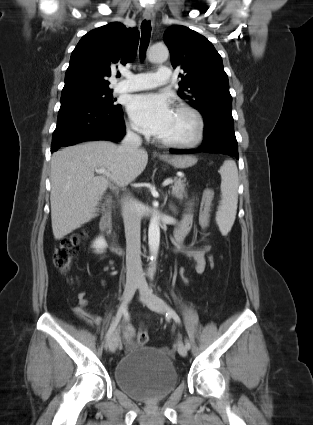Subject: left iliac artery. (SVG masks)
<instances>
[{"label":"left iliac artery","mask_w":313,"mask_h":425,"mask_svg":"<svg viewBox=\"0 0 313 425\" xmlns=\"http://www.w3.org/2000/svg\"><path fill=\"white\" fill-rule=\"evenodd\" d=\"M167 315L172 317L177 323H180V318H179L178 314L172 308L167 307ZM185 346H186L187 349H190V347H191V344L187 339L185 340Z\"/></svg>","instance_id":"1"}]
</instances>
